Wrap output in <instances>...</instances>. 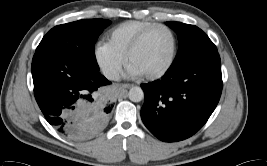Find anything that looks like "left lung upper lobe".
<instances>
[{
    "label": "left lung upper lobe",
    "mask_w": 267,
    "mask_h": 166,
    "mask_svg": "<svg viewBox=\"0 0 267 166\" xmlns=\"http://www.w3.org/2000/svg\"><path fill=\"white\" fill-rule=\"evenodd\" d=\"M179 38V50L173 65L187 63L205 54L217 52L209 37L198 27L180 22H166Z\"/></svg>",
    "instance_id": "obj_1"
}]
</instances>
